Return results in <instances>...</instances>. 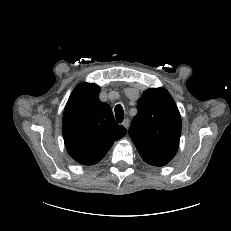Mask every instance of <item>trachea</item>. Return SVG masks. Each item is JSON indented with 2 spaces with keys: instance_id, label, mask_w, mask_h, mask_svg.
I'll use <instances>...</instances> for the list:
<instances>
[{
  "instance_id": "trachea-1",
  "label": "trachea",
  "mask_w": 231,
  "mask_h": 231,
  "mask_svg": "<svg viewBox=\"0 0 231 231\" xmlns=\"http://www.w3.org/2000/svg\"><path fill=\"white\" fill-rule=\"evenodd\" d=\"M115 117L118 123H121L124 119V110L121 105L115 107Z\"/></svg>"
}]
</instances>
